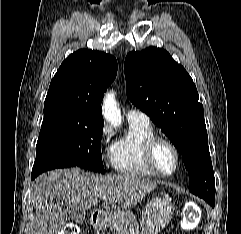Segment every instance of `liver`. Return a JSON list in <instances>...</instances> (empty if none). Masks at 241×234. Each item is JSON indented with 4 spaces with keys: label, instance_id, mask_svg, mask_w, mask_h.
<instances>
[{
    "label": "liver",
    "instance_id": "obj_1",
    "mask_svg": "<svg viewBox=\"0 0 241 234\" xmlns=\"http://www.w3.org/2000/svg\"><path fill=\"white\" fill-rule=\"evenodd\" d=\"M157 184L133 174L98 175L79 168L57 169L32 184L36 211L34 234H60L76 210L96 207L101 199L108 216L137 205Z\"/></svg>",
    "mask_w": 241,
    "mask_h": 234
}]
</instances>
